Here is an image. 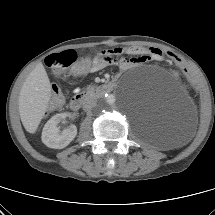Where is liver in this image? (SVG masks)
Instances as JSON below:
<instances>
[{
  "instance_id": "liver-1",
  "label": "liver",
  "mask_w": 215,
  "mask_h": 215,
  "mask_svg": "<svg viewBox=\"0 0 215 215\" xmlns=\"http://www.w3.org/2000/svg\"><path fill=\"white\" fill-rule=\"evenodd\" d=\"M51 97V83L42 63H38L23 83L19 114L25 130L34 134L44 117Z\"/></svg>"
}]
</instances>
